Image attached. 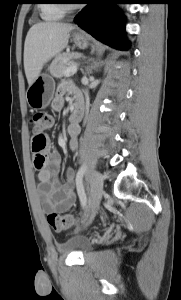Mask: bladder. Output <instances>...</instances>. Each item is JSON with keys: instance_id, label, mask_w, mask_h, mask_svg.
<instances>
[{"instance_id": "bladder-1", "label": "bladder", "mask_w": 181, "mask_h": 300, "mask_svg": "<svg viewBox=\"0 0 181 300\" xmlns=\"http://www.w3.org/2000/svg\"><path fill=\"white\" fill-rule=\"evenodd\" d=\"M72 247H73L75 250H77V251H79V252H82V253L87 251V249H86V247H85V244L80 243V242H77V243L72 244Z\"/></svg>"}]
</instances>
